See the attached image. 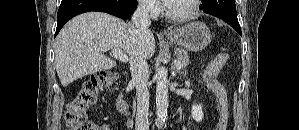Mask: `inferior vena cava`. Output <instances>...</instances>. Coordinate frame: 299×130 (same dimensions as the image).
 Here are the masks:
<instances>
[{
    "mask_svg": "<svg viewBox=\"0 0 299 130\" xmlns=\"http://www.w3.org/2000/svg\"><path fill=\"white\" fill-rule=\"evenodd\" d=\"M150 8L147 3L142 2L134 12L132 25L138 31L146 30L151 25ZM130 71L132 82L136 86L137 112L135 130H149V91L147 84L149 68L146 59L141 56H133L130 60Z\"/></svg>",
    "mask_w": 299,
    "mask_h": 130,
    "instance_id": "inferior-vena-cava-1",
    "label": "inferior vena cava"
}]
</instances>
